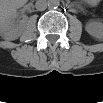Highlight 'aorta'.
<instances>
[{
    "label": "aorta",
    "instance_id": "obj_1",
    "mask_svg": "<svg viewBox=\"0 0 103 103\" xmlns=\"http://www.w3.org/2000/svg\"><path fill=\"white\" fill-rule=\"evenodd\" d=\"M48 6L50 8H57L59 6V1L58 0H49Z\"/></svg>",
    "mask_w": 103,
    "mask_h": 103
}]
</instances>
